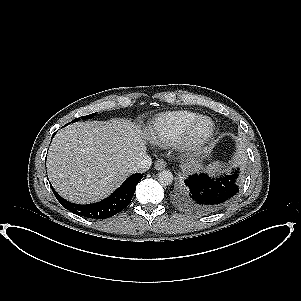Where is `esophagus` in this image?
Wrapping results in <instances>:
<instances>
[{
  "label": "esophagus",
  "mask_w": 301,
  "mask_h": 301,
  "mask_svg": "<svg viewBox=\"0 0 301 301\" xmlns=\"http://www.w3.org/2000/svg\"><path fill=\"white\" fill-rule=\"evenodd\" d=\"M154 167L156 170H162L166 167V162L163 159H158L155 162Z\"/></svg>",
  "instance_id": "1"
}]
</instances>
